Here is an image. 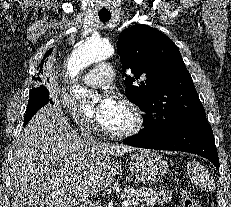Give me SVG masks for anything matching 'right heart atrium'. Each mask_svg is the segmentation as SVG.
<instances>
[{
    "mask_svg": "<svg viewBox=\"0 0 231 207\" xmlns=\"http://www.w3.org/2000/svg\"><path fill=\"white\" fill-rule=\"evenodd\" d=\"M58 105L73 118L74 122L81 130L90 132L96 129V124L93 118L86 115L79 105L69 97L60 98Z\"/></svg>",
    "mask_w": 231,
    "mask_h": 207,
    "instance_id": "obj_1",
    "label": "right heart atrium"
}]
</instances>
